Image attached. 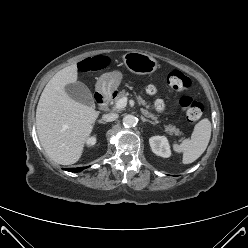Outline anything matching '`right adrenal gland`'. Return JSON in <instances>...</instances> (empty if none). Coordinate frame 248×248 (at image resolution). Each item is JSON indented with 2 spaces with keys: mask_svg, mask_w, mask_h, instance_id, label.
<instances>
[{
  "mask_svg": "<svg viewBox=\"0 0 248 248\" xmlns=\"http://www.w3.org/2000/svg\"><path fill=\"white\" fill-rule=\"evenodd\" d=\"M98 123H101V124H106V122H105V121H103V120H98Z\"/></svg>",
  "mask_w": 248,
  "mask_h": 248,
  "instance_id": "2a0ac1e0",
  "label": "right adrenal gland"
}]
</instances>
